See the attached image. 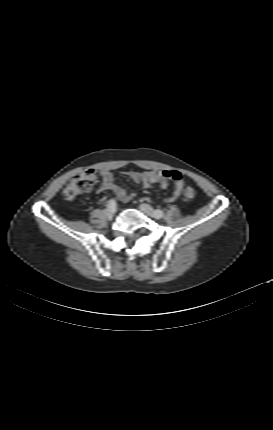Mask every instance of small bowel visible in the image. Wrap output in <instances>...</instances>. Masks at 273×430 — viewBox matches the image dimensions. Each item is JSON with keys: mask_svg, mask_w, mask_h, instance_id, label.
I'll return each mask as SVG.
<instances>
[{"mask_svg": "<svg viewBox=\"0 0 273 430\" xmlns=\"http://www.w3.org/2000/svg\"><path fill=\"white\" fill-rule=\"evenodd\" d=\"M99 173L102 179L98 188L100 192L110 191L120 201H129L134 197V193H127L125 189L114 183L113 174L109 170H101ZM126 174L143 188L158 186L161 189H166L169 186V181L172 180L174 182L173 192L169 197L164 199L165 202L176 200L184 189V182L176 171H128Z\"/></svg>", "mask_w": 273, "mask_h": 430, "instance_id": "obj_1", "label": "small bowel"}]
</instances>
